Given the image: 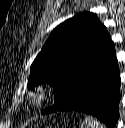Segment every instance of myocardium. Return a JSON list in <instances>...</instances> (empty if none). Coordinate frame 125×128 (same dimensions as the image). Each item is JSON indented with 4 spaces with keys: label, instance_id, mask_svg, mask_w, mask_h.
Segmentation results:
<instances>
[{
    "label": "myocardium",
    "instance_id": "obj_1",
    "mask_svg": "<svg viewBox=\"0 0 125 128\" xmlns=\"http://www.w3.org/2000/svg\"><path fill=\"white\" fill-rule=\"evenodd\" d=\"M30 98L33 105L36 107H41L46 101V96L42 91L33 93Z\"/></svg>",
    "mask_w": 125,
    "mask_h": 128
}]
</instances>
